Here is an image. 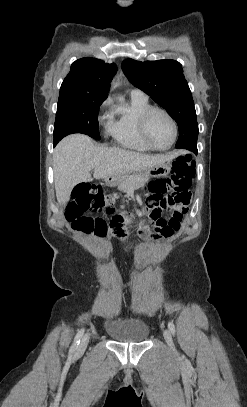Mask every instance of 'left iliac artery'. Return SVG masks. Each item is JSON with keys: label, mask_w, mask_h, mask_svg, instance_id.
Here are the masks:
<instances>
[{"label": "left iliac artery", "mask_w": 247, "mask_h": 407, "mask_svg": "<svg viewBox=\"0 0 247 407\" xmlns=\"http://www.w3.org/2000/svg\"><path fill=\"white\" fill-rule=\"evenodd\" d=\"M168 328L171 331V333H175V326L173 324V322H168Z\"/></svg>", "instance_id": "1"}]
</instances>
